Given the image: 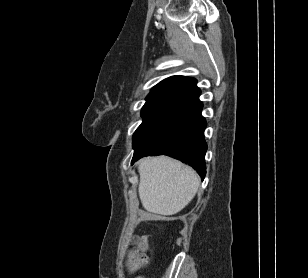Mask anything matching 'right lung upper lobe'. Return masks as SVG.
Instances as JSON below:
<instances>
[{
  "instance_id": "1",
  "label": "right lung upper lobe",
  "mask_w": 308,
  "mask_h": 278,
  "mask_svg": "<svg viewBox=\"0 0 308 278\" xmlns=\"http://www.w3.org/2000/svg\"><path fill=\"white\" fill-rule=\"evenodd\" d=\"M196 83V79L180 75L164 79L151 89L141 114L182 116L200 103Z\"/></svg>"
}]
</instances>
